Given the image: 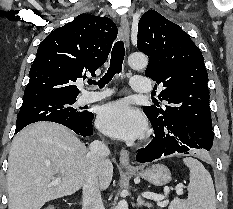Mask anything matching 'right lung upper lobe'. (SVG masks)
<instances>
[{
    "mask_svg": "<svg viewBox=\"0 0 233 209\" xmlns=\"http://www.w3.org/2000/svg\"><path fill=\"white\" fill-rule=\"evenodd\" d=\"M117 33L111 19L91 14L78 15L52 31L38 47L23 103L76 98V80L86 78V73L95 75L106 61Z\"/></svg>",
    "mask_w": 233,
    "mask_h": 209,
    "instance_id": "right-lung-upper-lobe-1",
    "label": "right lung upper lobe"
}]
</instances>
